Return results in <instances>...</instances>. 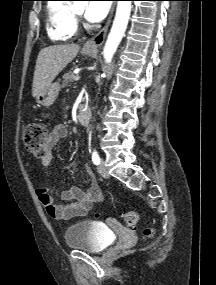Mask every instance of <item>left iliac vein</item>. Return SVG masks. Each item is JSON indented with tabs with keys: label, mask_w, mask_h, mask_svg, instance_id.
<instances>
[{
	"label": "left iliac vein",
	"mask_w": 216,
	"mask_h": 285,
	"mask_svg": "<svg viewBox=\"0 0 216 285\" xmlns=\"http://www.w3.org/2000/svg\"><path fill=\"white\" fill-rule=\"evenodd\" d=\"M97 169L103 178H109L108 170H107L106 165L103 161H101V163L98 165Z\"/></svg>",
	"instance_id": "4c4485c4"
}]
</instances>
